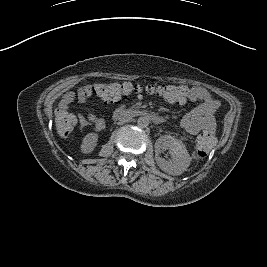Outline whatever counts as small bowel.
Wrapping results in <instances>:
<instances>
[{"label": "small bowel", "instance_id": "c3829d8e", "mask_svg": "<svg viewBox=\"0 0 267 267\" xmlns=\"http://www.w3.org/2000/svg\"><path fill=\"white\" fill-rule=\"evenodd\" d=\"M88 86L78 88L75 92L68 93L61 101V110H66L71 102L78 100L84 102L86 97L84 91ZM185 92V97L179 104L189 100L192 102L202 101V103L190 112H188L180 121V126L191 134L207 131L214 133L216 129V120L214 113L219 109V100L210 96L208 91L203 87H181ZM79 126L81 128L91 127L94 131H100L105 127V121L96 117L92 113H79Z\"/></svg>", "mask_w": 267, "mask_h": 267}]
</instances>
